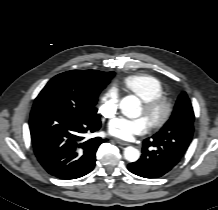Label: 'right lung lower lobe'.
<instances>
[{"label": "right lung lower lobe", "instance_id": "1", "mask_svg": "<svg viewBox=\"0 0 218 210\" xmlns=\"http://www.w3.org/2000/svg\"><path fill=\"white\" fill-rule=\"evenodd\" d=\"M30 134L34 153L42 167L59 179H76L93 170L96 151L104 141L86 140L85 133L101 127L99 118L87 119L56 108L32 110Z\"/></svg>", "mask_w": 218, "mask_h": 210}]
</instances>
